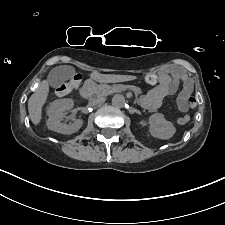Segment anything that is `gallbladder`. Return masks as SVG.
<instances>
[{"label": "gallbladder", "instance_id": "obj_1", "mask_svg": "<svg viewBox=\"0 0 225 225\" xmlns=\"http://www.w3.org/2000/svg\"><path fill=\"white\" fill-rule=\"evenodd\" d=\"M74 75V68L71 66H58L51 70L48 75V83L51 87L61 86L66 80Z\"/></svg>", "mask_w": 225, "mask_h": 225}]
</instances>
